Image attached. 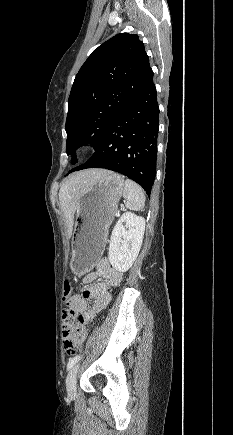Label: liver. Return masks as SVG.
I'll list each match as a JSON object with an SVG mask.
<instances>
[{"label": "liver", "instance_id": "obj_1", "mask_svg": "<svg viewBox=\"0 0 233 435\" xmlns=\"http://www.w3.org/2000/svg\"><path fill=\"white\" fill-rule=\"evenodd\" d=\"M107 173L109 171L104 169L83 170L72 174L61 186L59 200L66 220L68 238L72 235L74 214L83 194L90 185Z\"/></svg>", "mask_w": 233, "mask_h": 435}]
</instances>
